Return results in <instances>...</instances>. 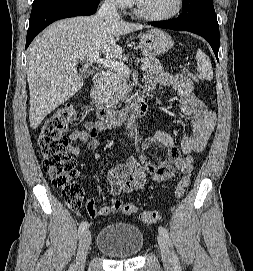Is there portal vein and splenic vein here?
<instances>
[{
	"instance_id": "portal-vein-and-splenic-vein-1",
	"label": "portal vein and splenic vein",
	"mask_w": 253,
	"mask_h": 271,
	"mask_svg": "<svg viewBox=\"0 0 253 271\" xmlns=\"http://www.w3.org/2000/svg\"><path fill=\"white\" fill-rule=\"evenodd\" d=\"M87 63H96L99 66H104L112 69L122 76H127L130 73L129 68L122 62H117L113 60H107L100 58V53H94L89 59L85 60ZM141 70H147V65L142 64L140 67Z\"/></svg>"
}]
</instances>
